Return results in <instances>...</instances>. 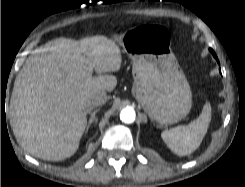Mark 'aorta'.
<instances>
[{
	"instance_id": "obj_1",
	"label": "aorta",
	"mask_w": 245,
	"mask_h": 187,
	"mask_svg": "<svg viewBox=\"0 0 245 187\" xmlns=\"http://www.w3.org/2000/svg\"><path fill=\"white\" fill-rule=\"evenodd\" d=\"M135 111L132 108H125L120 113V119L122 122L130 124L135 121Z\"/></svg>"
}]
</instances>
